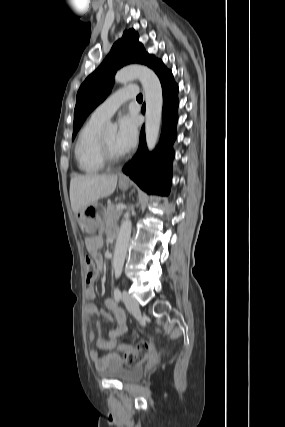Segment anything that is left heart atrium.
I'll return each instance as SVG.
<instances>
[{
	"label": "left heart atrium",
	"instance_id": "1",
	"mask_svg": "<svg viewBox=\"0 0 285 427\" xmlns=\"http://www.w3.org/2000/svg\"><path fill=\"white\" fill-rule=\"evenodd\" d=\"M138 129L133 116L123 115L118 121V131L116 135V144L118 148L127 153L135 146L137 142Z\"/></svg>",
	"mask_w": 285,
	"mask_h": 427
}]
</instances>
